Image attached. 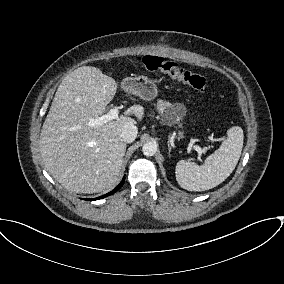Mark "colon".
Here are the masks:
<instances>
[{
    "mask_svg": "<svg viewBox=\"0 0 284 284\" xmlns=\"http://www.w3.org/2000/svg\"><path fill=\"white\" fill-rule=\"evenodd\" d=\"M142 65L150 71H160L173 80L203 92L207 86V80L202 75L180 67L177 63L160 56L146 55L139 58Z\"/></svg>",
    "mask_w": 284,
    "mask_h": 284,
    "instance_id": "colon-1",
    "label": "colon"
}]
</instances>
